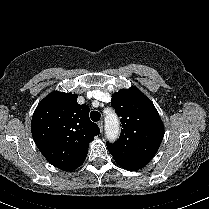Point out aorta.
Returning a JSON list of instances; mask_svg holds the SVG:
<instances>
[{"label": "aorta", "instance_id": "762f6f07", "mask_svg": "<svg viewBox=\"0 0 209 209\" xmlns=\"http://www.w3.org/2000/svg\"><path fill=\"white\" fill-rule=\"evenodd\" d=\"M105 133L109 141H115L120 133V123L115 113H109L105 117Z\"/></svg>", "mask_w": 209, "mask_h": 209}]
</instances>
